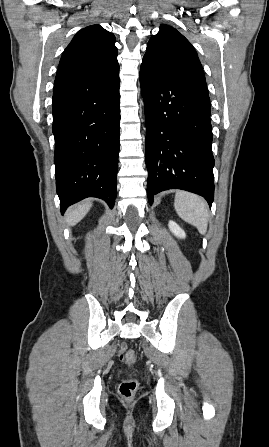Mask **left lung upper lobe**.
I'll use <instances>...</instances> for the list:
<instances>
[{"instance_id": "5c2ea615", "label": "left lung upper lobe", "mask_w": 269, "mask_h": 447, "mask_svg": "<svg viewBox=\"0 0 269 447\" xmlns=\"http://www.w3.org/2000/svg\"><path fill=\"white\" fill-rule=\"evenodd\" d=\"M145 60L166 71L193 79L207 88L197 53L175 28L161 25L147 44Z\"/></svg>"}]
</instances>
